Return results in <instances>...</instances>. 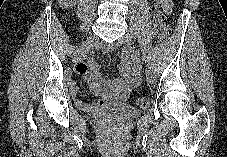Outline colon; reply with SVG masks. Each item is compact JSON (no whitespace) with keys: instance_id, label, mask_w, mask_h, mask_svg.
<instances>
[{"instance_id":"1","label":"colon","mask_w":227,"mask_h":157,"mask_svg":"<svg viewBox=\"0 0 227 157\" xmlns=\"http://www.w3.org/2000/svg\"><path fill=\"white\" fill-rule=\"evenodd\" d=\"M156 10L154 14V32L159 39H165L169 33L167 20L165 15L159 10V3L155 4ZM136 104L140 108H147L150 104V98L148 96H140L136 100Z\"/></svg>"}]
</instances>
